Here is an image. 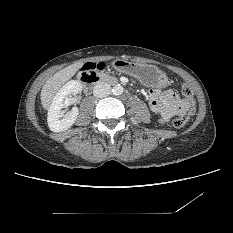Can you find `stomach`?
<instances>
[{"instance_id": "0dacf381", "label": "stomach", "mask_w": 233, "mask_h": 233, "mask_svg": "<svg viewBox=\"0 0 233 233\" xmlns=\"http://www.w3.org/2000/svg\"><path fill=\"white\" fill-rule=\"evenodd\" d=\"M112 66L115 70L136 78L145 86L166 88L169 85L166 74L155 66L132 63L122 59L115 60Z\"/></svg>"}]
</instances>
